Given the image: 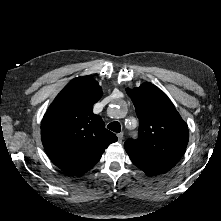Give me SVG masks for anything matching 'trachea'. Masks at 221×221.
<instances>
[{
    "label": "trachea",
    "instance_id": "1",
    "mask_svg": "<svg viewBox=\"0 0 221 221\" xmlns=\"http://www.w3.org/2000/svg\"><path fill=\"white\" fill-rule=\"evenodd\" d=\"M107 128L113 132H116V133H119L120 130H121V126H120V123L119 122H112L110 123Z\"/></svg>",
    "mask_w": 221,
    "mask_h": 221
}]
</instances>
